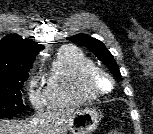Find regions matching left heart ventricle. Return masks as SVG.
I'll return each mask as SVG.
<instances>
[{
	"mask_svg": "<svg viewBox=\"0 0 153 134\" xmlns=\"http://www.w3.org/2000/svg\"><path fill=\"white\" fill-rule=\"evenodd\" d=\"M96 84L97 87L102 90H107L110 87L109 81L103 76L97 77Z\"/></svg>",
	"mask_w": 153,
	"mask_h": 134,
	"instance_id": "obj_1",
	"label": "left heart ventricle"
}]
</instances>
